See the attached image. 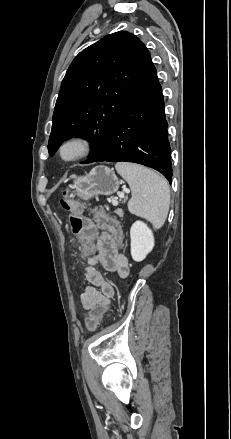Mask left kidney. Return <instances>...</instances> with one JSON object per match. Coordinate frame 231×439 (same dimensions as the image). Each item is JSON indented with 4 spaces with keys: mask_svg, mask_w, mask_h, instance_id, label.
Wrapping results in <instances>:
<instances>
[{
    "mask_svg": "<svg viewBox=\"0 0 231 439\" xmlns=\"http://www.w3.org/2000/svg\"><path fill=\"white\" fill-rule=\"evenodd\" d=\"M131 256L134 261L140 262L146 258L154 247L152 230L144 222H134L130 229Z\"/></svg>",
    "mask_w": 231,
    "mask_h": 439,
    "instance_id": "left-kidney-1",
    "label": "left kidney"
}]
</instances>
